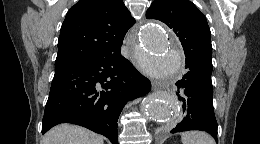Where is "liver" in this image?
Returning a JSON list of instances; mask_svg holds the SVG:
<instances>
[{
	"mask_svg": "<svg viewBox=\"0 0 260 144\" xmlns=\"http://www.w3.org/2000/svg\"><path fill=\"white\" fill-rule=\"evenodd\" d=\"M42 144H104L103 137L83 127L60 124L50 129Z\"/></svg>",
	"mask_w": 260,
	"mask_h": 144,
	"instance_id": "liver-1",
	"label": "liver"
}]
</instances>
